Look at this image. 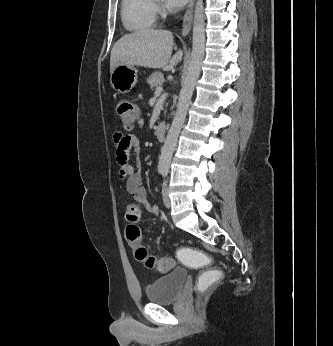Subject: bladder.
I'll return each instance as SVG.
<instances>
[{
    "instance_id": "bladder-1",
    "label": "bladder",
    "mask_w": 333,
    "mask_h": 346,
    "mask_svg": "<svg viewBox=\"0 0 333 346\" xmlns=\"http://www.w3.org/2000/svg\"><path fill=\"white\" fill-rule=\"evenodd\" d=\"M187 281V272L176 268L147 285L146 296L150 303L167 304L175 301Z\"/></svg>"
}]
</instances>
